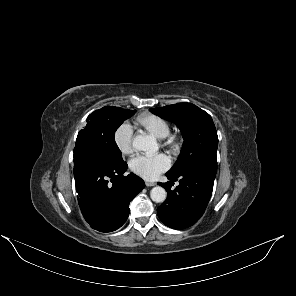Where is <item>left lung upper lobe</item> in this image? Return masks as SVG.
Segmentation results:
<instances>
[{"instance_id": "5c2ea615", "label": "left lung upper lobe", "mask_w": 296, "mask_h": 296, "mask_svg": "<svg viewBox=\"0 0 296 296\" xmlns=\"http://www.w3.org/2000/svg\"><path fill=\"white\" fill-rule=\"evenodd\" d=\"M150 111L174 122L184 138L181 156L169 175L180 174L199 165L217 166L218 136L211 116L191 103H178Z\"/></svg>"}]
</instances>
